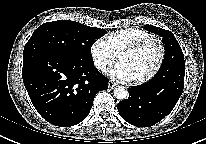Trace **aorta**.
<instances>
[{"mask_svg": "<svg viewBox=\"0 0 206 144\" xmlns=\"http://www.w3.org/2000/svg\"><path fill=\"white\" fill-rule=\"evenodd\" d=\"M113 95L118 100L127 99L128 96H129L127 89L125 87H123V86L115 87L114 91H113Z\"/></svg>", "mask_w": 206, "mask_h": 144, "instance_id": "762f6f07", "label": "aorta"}]
</instances>
